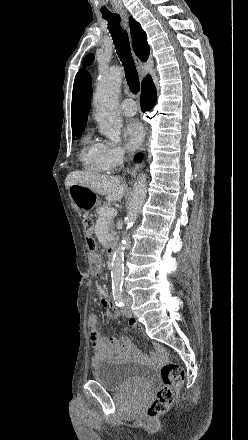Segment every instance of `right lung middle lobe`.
<instances>
[{
    "label": "right lung middle lobe",
    "mask_w": 248,
    "mask_h": 440,
    "mask_svg": "<svg viewBox=\"0 0 248 440\" xmlns=\"http://www.w3.org/2000/svg\"><path fill=\"white\" fill-rule=\"evenodd\" d=\"M82 132L83 131H75V132H73V136L78 139L82 135Z\"/></svg>",
    "instance_id": "1"
}]
</instances>
